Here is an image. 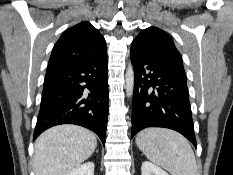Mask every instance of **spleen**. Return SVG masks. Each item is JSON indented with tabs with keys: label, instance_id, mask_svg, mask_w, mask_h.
I'll return each mask as SVG.
<instances>
[{
	"label": "spleen",
	"instance_id": "obj_1",
	"mask_svg": "<svg viewBox=\"0 0 233 175\" xmlns=\"http://www.w3.org/2000/svg\"><path fill=\"white\" fill-rule=\"evenodd\" d=\"M136 145L150 161L165 168L171 175H197L191 145L178 132L146 128L137 134Z\"/></svg>",
	"mask_w": 233,
	"mask_h": 175
}]
</instances>
